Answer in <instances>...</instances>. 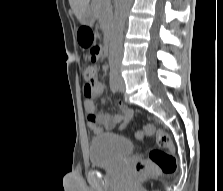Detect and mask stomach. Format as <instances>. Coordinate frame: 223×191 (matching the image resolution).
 <instances>
[{
	"mask_svg": "<svg viewBox=\"0 0 223 191\" xmlns=\"http://www.w3.org/2000/svg\"><path fill=\"white\" fill-rule=\"evenodd\" d=\"M81 23L84 25H91L95 21V14L91 8H87L86 11L82 14L80 19Z\"/></svg>",
	"mask_w": 223,
	"mask_h": 191,
	"instance_id": "stomach-1",
	"label": "stomach"
}]
</instances>
